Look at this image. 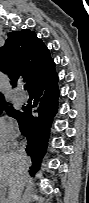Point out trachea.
<instances>
[{
	"instance_id": "trachea-1",
	"label": "trachea",
	"mask_w": 89,
	"mask_h": 203,
	"mask_svg": "<svg viewBox=\"0 0 89 203\" xmlns=\"http://www.w3.org/2000/svg\"><path fill=\"white\" fill-rule=\"evenodd\" d=\"M24 89H25V90H29L27 84L24 85Z\"/></svg>"
}]
</instances>
